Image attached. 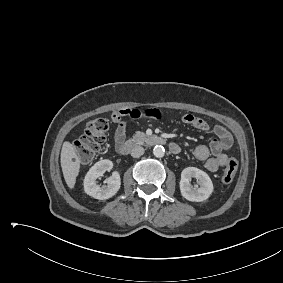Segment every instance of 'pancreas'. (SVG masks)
<instances>
[{"label":"pancreas","mask_w":283,"mask_h":283,"mask_svg":"<svg viewBox=\"0 0 283 283\" xmlns=\"http://www.w3.org/2000/svg\"><path fill=\"white\" fill-rule=\"evenodd\" d=\"M145 139L146 135L143 132L138 131L133 135V141L137 143H142Z\"/></svg>","instance_id":"1"}]
</instances>
